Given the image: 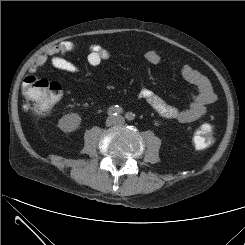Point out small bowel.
Segmentation results:
<instances>
[{"mask_svg": "<svg viewBox=\"0 0 245 245\" xmlns=\"http://www.w3.org/2000/svg\"><path fill=\"white\" fill-rule=\"evenodd\" d=\"M78 49L79 46L72 41H64L56 46L50 47L36 58L31 67V72H35L47 62H50L59 70L70 74H77L79 73V68L67 59V55ZM110 57V51L100 45L93 44L88 47L87 61L92 67L99 66L104 60H108ZM145 59L153 65L159 64L162 61L160 54L153 50L146 52ZM181 74L195 88L187 108H177L161 99L152 91H142L140 98L145 100L160 116L181 123H189L205 114L207 107L216 100V94L210 81L193 67L184 65L181 69Z\"/></svg>", "mask_w": 245, "mask_h": 245, "instance_id": "c3829d8e", "label": "small bowel"}]
</instances>
